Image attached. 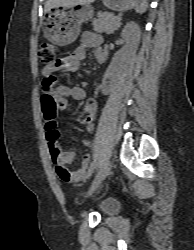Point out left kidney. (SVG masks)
Returning a JSON list of instances; mask_svg holds the SVG:
<instances>
[{
  "label": "left kidney",
  "mask_w": 194,
  "mask_h": 250,
  "mask_svg": "<svg viewBox=\"0 0 194 250\" xmlns=\"http://www.w3.org/2000/svg\"><path fill=\"white\" fill-rule=\"evenodd\" d=\"M122 39L125 40V48L129 56H132L138 49L141 30L140 27L134 21H130L125 25L121 32Z\"/></svg>",
  "instance_id": "1"
}]
</instances>
